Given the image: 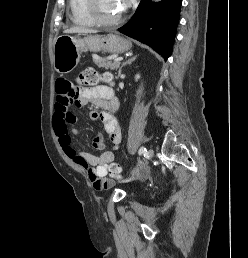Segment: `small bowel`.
I'll return each mask as SVG.
<instances>
[{"label": "small bowel", "mask_w": 248, "mask_h": 258, "mask_svg": "<svg viewBox=\"0 0 248 258\" xmlns=\"http://www.w3.org/2000/svg\"><path fill=\"white\" fill-rule=\"evenodd\" d=\"M57 99L55 112L52 119L54 131L65 154L77 165L84 168L95 190H110L113 179L105 177L110 167L116 164L114 151L118 150L122 140V131L116 118L111 112L119 109V101L114 96L113 90L107 85H97L81 90L77 97L73 95V89L67 79H59L56 83ZM92 103L106 111H92L90 118L100 120L106 132L108 140L112 144V150L104 151L99 156L74 147L71 135H77V129L72 126L78 121V115L70 110L75 104L78 108ZM96 150H103L105 141L96 137L92 143Z\"/></svg>", "instance_id": "1"}]
</instances>
